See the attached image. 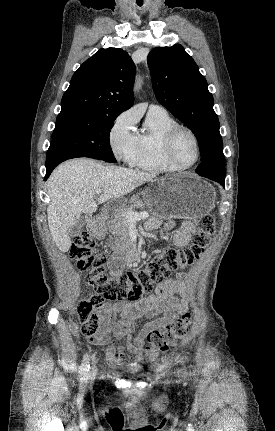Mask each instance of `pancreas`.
Listing matches in <instances>:
<instances>
[{
	"label": "pancreas",
	"instance_id": "1",
	"mask_svg": "<svg viewBox=\"0 0 275 431\" xmlns=\"http://www.w3.org/2000/svg\"><path fill=\"white\" fill-rule=\"evenodd\" d=\"M145 201L140 199L139 194L131 197L129 204L117 209L111 220L110 232L111 249L116 251L122 246L129 244V220L126 218L127 211H134L135 208H143Z\"/></svg>",
	"mask_w": 275,
	"mask_h": 431
}]
</instances>
